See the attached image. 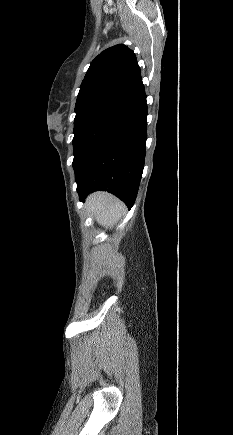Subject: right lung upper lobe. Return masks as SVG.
<instances>
[{"label":"right lung upper lobe","mask_w":233,"mask_h":435,"mask_svg":"<svg viewBox=\"0 0 233 435\" xmlns=\"http://www.w3.org/2000/svg\"><path fill=\"white\" fill-rule=\"evenodd\" d=\"M145 97L135 54L115 45L91 62L78 93L76 117L101 111L125 115Z\"/></svg>","instance_id":"1"}]
</instances>
